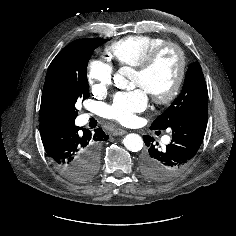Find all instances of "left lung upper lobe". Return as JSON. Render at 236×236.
<instances>
[{"instance_id":"5c2ea615","label":"left lung upper lobe","mask_w":236,"mask_h":236,"mask_svg":"<svg viewBox=\"0 0 236 236\" xmlns=\"http://www.w3.org/2000/svg\"><path fill=\"white\" fill-rule=\"evenodd\" d=\"M203 106H208V91L200 64L195 62L188 68L180 95L155 119L150 128L165 130L188 111Z\"/></svg>"}]
</instances>
